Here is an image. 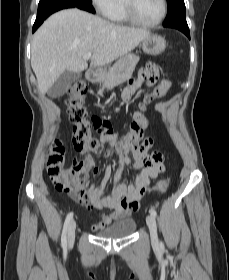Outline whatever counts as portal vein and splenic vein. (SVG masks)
Wrapping results in <instances>:
<instances>
[{
  "instance_id": "portal-vein-and-splenic-vein-1",
  "label": "portal vein and splenic vein",
  "mask_w": 229,
  "mask_h": 280,
  "mask_svg": "<svg viewBox=\"0 0 229 280\" xmlns=\"http://www.w3.org/2000/svg\"><path fill=\"white\" fill-rule=\"evenodd\" d=\"M91 55H92V52H87L83 55V59L88 60V59H90Z\"/></svg>"
}]
</instances>
